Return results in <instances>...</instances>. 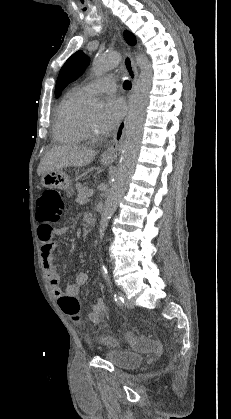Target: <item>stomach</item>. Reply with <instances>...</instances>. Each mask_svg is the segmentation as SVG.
<instances>
[{
    "mask_svg": "<svg viewBox=\"0 0 231 419\" xmlns=\"http://www.w3.org/2000/svg\"><path fill=\"white\" fill-rule=\"evenodd\" d=\"M101 163L108 165L111 161L101 158ZM41 185L45 188L64 190L68 193V195L73 193L71 181L62 169L44 173L41 176Z\"/></svg>",
    "mask_w": 231,
    "mask_h": 419,
    "instance_id": "0dacf381",
    "label": "stomach"
}]
</instances>
